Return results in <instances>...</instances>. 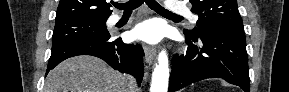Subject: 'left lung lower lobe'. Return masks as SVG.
<instances>
[{
    "label": "left lung lower lobe",
    "instance_id": "0a47b994",
    "mask_svg": "<svg viewBox=\"0 0 289 92\" xmlns=\"http://www.w3.org/2000/svg\"><path fill=\"white\" fill-rule=\"evenodd\" d=\"M185 54L172 59L168 92H175L191 83L212 77L250 92L248 55L243 31L220 27L203 28L197 38L185 35Z\"/></svg>",
    "mask_w": 289,
    "mask_h": 92
}]
</instances>
